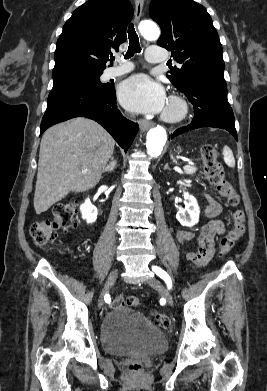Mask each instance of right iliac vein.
<instances>
[{
  "instance_id": "obj_1",
  "label": "right iliac vein",
  "mask_w": 267,
  "mask_h": 391,
  "mask_svg": "<svg viewBox=\"0 0 267 391\" xmlns=\"http://www.w3.org/2000/svg\"><path fill=\"white\" fill-rule=\"evenodd\" d=\"M118 277V269H113L111 273L109 274L105 287L103 291L100 294V297L98 299V307L101 308L104 304V298L108 290L111 288V286L115 283L116 279Z\"/></svg>"
}]
</instances>
